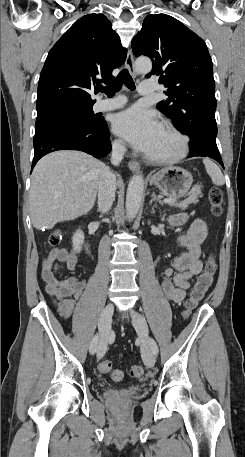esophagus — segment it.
I'll use <instances>...</instances> for the list:
<instances>
[{"instance_id":"1","label":"esophagus","mask_w":245,"mask_h":457,"mask_svg":"<svg viewBox=\"0 0 245 457\" xmlns=\"http://www.w3.org/2000/svg\"><path fill=\"white\" fill-rule=\"evenodd\" d=\"M125 65H126L127 69L129 70L130 74L133 77H136L137 73H136V70H135L134 57H133V54H132L131 50H129L128 53H127V58H126V61H125ZM128 167L133 172H136V171L140 170V164L138 162H136V161H133V160L128 162Z\"/></svg>"}]
</instances>
